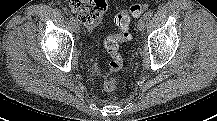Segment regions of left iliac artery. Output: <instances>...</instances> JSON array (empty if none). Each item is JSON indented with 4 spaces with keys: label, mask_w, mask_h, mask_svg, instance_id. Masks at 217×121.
<instances>
[{
    "label": "left iliac artery",
    "mask_w": 217,
    "mask_h": 121,
    "mask_svg": "<svg viewBox=\"0 0 217 121\" xmlns=\"http://www.w3.org/2000/svg\"><path fill=\"white\" fill-rule=\"evenodd\" d=\"M151 17H152V13L151 12H147V13L144 14V18L146 20H149Z\"/></svg>",
    "instance_id": "1"
}]
</instances>
